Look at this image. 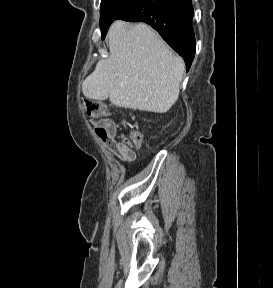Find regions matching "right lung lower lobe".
I'll return each mask as SVG.
<instances>
[{
	"instance_id": "right-lung-lower-lobe-1",
	"label": "right lung lower lobe",
	"mask_w": 273,
	"mask_h": 288,
	"mask_svg": "<svg viewBox=\"0 0 273 288\" xmlns=\"http://www.w3.org/2000/svg\"><path fill=\"white\" fill-rule=\"evenodd\" d=\"M193 14L191 0H137L118 19L152 26L184 58L188 71L195 55Z\"/></svg>"
}]
</instances>
